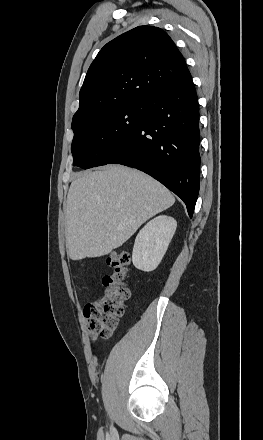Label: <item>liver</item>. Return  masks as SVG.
Here are the masks:
<instances>
[{
	"label": "liver",
	"instance_id": "liver-1",
	"mask_svg": "<svg viewBox=\"0 0 263 440\" xmlns=\"http://www.w3.org/2000/svg\"><path fill=\"white\" fill-rule=\"evenodd\" d=\"M175 198L152 177L121 165L80 173L67 195L66 233L72 260L109 254Z\"/></svg>",
	"mask_w": 263,
	"mask_h": 440
}]
</instances>
